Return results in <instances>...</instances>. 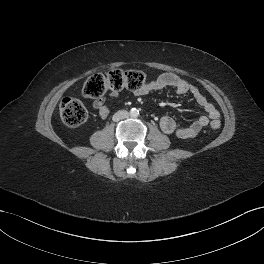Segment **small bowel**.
I'll list each match as a JSON object with an SVG mask.
<instances>
[{
  "instance_id": "obj_1",
  "label": "small bowel",
  "mask_w": 264,
  "mask_h": 264,
  "mask_svg": "<svg viewBox=\"0 0 264 264\" xmlns=\"http://www.w3.org/2000/svg\"><path fill=\"white\" fill-rule=\"evenodd\" d=\"M171 87L177 94H191L197 104L201 106L206 115L200 116L192 124L185 127H180L176 122L169 116H163L160 119V128L166 134H175L180 139H193L199 132L206 127L211 120H218L220 113L217 108L200 92V90L191 85L185 79L174 73L161 74L155 81L146 83L141 89L135 91L138 96L146 95L154 90ZM117 96L116 93L112 94ZM94 108L100 117L106 118L110 110L106 105L104 98H98L94 101Z\"/></svg>"
}]
</instances>
